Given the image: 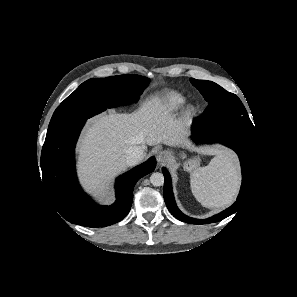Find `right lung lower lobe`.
<instances>
[{
    "label": "right lung lower lobe",
    "mask_w": 297,
    "mask_h": 297,
    "mask_svg": "<svg viewBox=\"0 0 297 297\" xmlns=\"http://www.w3.org/2000/svg\"><path fill=\"white\" fill-rule=\"evenodd\" d=\"M84 123L45 140L39 163L42 181L51 203L66 220L87 227H105L128 214L136 182L154 171L156 160L151 157L117 179L113 205H97L82 191L75 171L74 149Z\"/></svg>",
    "instance_id": "obj_1"
}]
</instances>
